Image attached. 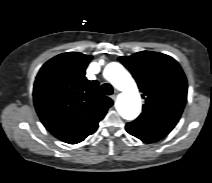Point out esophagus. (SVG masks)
I'll list each match as a JSON object with an SVG mask.
<instances>
[{
    "mask_svg": "<svg viewBox=\"0 0 212 183\" xmlns=\"http://www.w3.org/2000/svg\"><path fill=\"white\" fill-rule=\"evenodd\" d=\"M117 95H118V91H115V93L113 95H111V99L116 100Z\"/></svg>",
    "mask_w": 212,
    "mask_h": 183,
    "instance_id": "1",
    "label": "esophagus"
}]
</instances>
